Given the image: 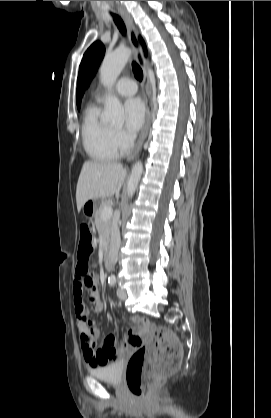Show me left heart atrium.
<instances>
[{
    "label": "left heart atrium",
    "instance_id": "obj_1",
    "mask_svg": "<svg viewBox=\"0 0 271 418\" xmlns=\"http://www.w3.org/2000/svg\"><path fill=\"white\" fill-rule=\"evenodd\" d=\"M125 125L129 132L136 133L143 125L146 118V110L139 98H131L126 101Z\"/></svg>",
    "mask_w": 271,
    "mask_h": 418
}]
</instances>
